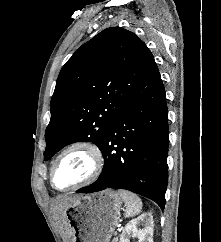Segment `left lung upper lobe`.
Returning <instances> with one entry per match:
<instances>
[{
    "label": "left lung upper lobe",
    "mask_w": 221,
    "mask_h": 242,
    "mask_svg": "<svg viewBox=\"0 0 221 242\" xmlns=\"http://www.w3.org/2000/svg\"><path fill=\"white\" fill-rule=\"evenodd\" d=\"M158 73L147 46L123 28L105 29L83 44L57 79L45 160L78 141H91L101 149L115 117Z\"/></svg>",
    "instance_id": "1"
}]
</instances>
